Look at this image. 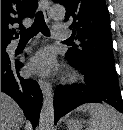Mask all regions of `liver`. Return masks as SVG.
<instances>
[{"instance_id": "1", "label": "liver", "mask_w": 123, "mask_h": 130, "mask_svg": "<svg viewBox=\"0 0 123 130\" xmlns=\"http://www.w3.org/2000/svg\"><path fill=\"white\" fill-rule=\"evenodd\" d=\"M24 114L18 104L1 92V130H20Z\"/></svg>"}]
</instances>
